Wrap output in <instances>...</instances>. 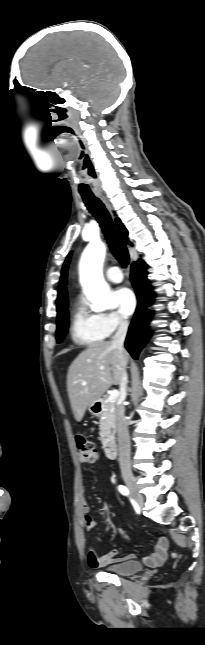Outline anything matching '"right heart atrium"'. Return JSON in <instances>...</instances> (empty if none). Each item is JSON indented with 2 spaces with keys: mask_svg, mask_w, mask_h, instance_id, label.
Listing matches in <instances>:
<instances>
[{
  "mask_svg": "<svg viewBox=\"0 0 205 645\" xmlns=\"http://www.w3.org/2000/svg\"><path fill=\"white\" fill-rule=\"evenodd\" d=\"M100 323L107 335L127 327V320L117 312H107L99 315Z\"/></svg>",
  "mask_w": 205,
  "mask_h": 645,
  "instance_id": "obj_1",
  "label": "right heart atrium"
}]
</instances>
